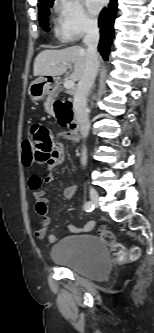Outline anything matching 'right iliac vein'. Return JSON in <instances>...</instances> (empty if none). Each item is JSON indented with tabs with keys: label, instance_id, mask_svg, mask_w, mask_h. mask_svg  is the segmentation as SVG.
<instances>
[{
	"label": "right iliac vein",
	"instance_id": "1",
	"mask_svg": "<svg viewBox=\"0 0 154 333\" xmlns=\"http://www.w3.org/2000/svg\"><path fill=\"white\" fill-rule=\"evenodd\" d=\"M89 194H90V199H91L93 205L98 206L99 194H98L97 190L94 187L90 186Z\"/></svg>",
	"mask_w": 154,
	"mask_h": 333
}]
</instances>
